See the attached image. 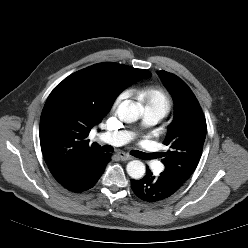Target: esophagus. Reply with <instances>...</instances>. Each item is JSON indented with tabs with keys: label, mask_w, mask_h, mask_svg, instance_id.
I'll list each match as a JSON object with an SVG mask.
<instances>
[{
	"label": "esophagus",
	"mask_w": 248,
	"mask_h": 248,
	"mask_svg": "<svg viewBox=\"0 0 248 248\" xmlns=\"http://www.w3.org/2000/svg\"><path fill=\"white\" fill-rule=\"evenodd\" d=\"M117 155L123 161H128L132 159V157L125 152H119Z\"/></svg>",
	"instance_id": "1"
}]
</instances>
